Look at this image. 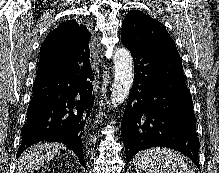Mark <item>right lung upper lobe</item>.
Returning a JSON list of instances; mask_svg holds the SVG:
<instances>
[{
  "label": "right lung upper lobe",
  "mask_w": 219,
  "mask_h": 173,
  "mask_svg": "<svg viewBox=\"0 0 219 173\" xmlns=\"http://www.w3.org/2000/svg\"><path fill=\"white\" fill-rule=\"evenodd\" d=\"M91 34L83 25L68 20L61 23L55 30L49 33L40 48V60L54 59L62 62L70 54L82 56L89 62V46Z\"/></svg>",
  "instance_id": "cb5924a9"
}]
</instances>
